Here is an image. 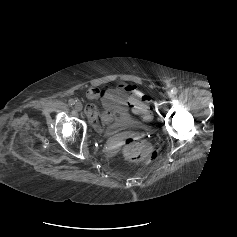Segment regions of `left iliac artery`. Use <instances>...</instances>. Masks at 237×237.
Here are the masks:
<instances>
[{
	"instance_id": "obj_1",
	"label": "left iliac artery",
	"mask_w": 237,
	"mask_h": 237,
	"mask_svg": "<svg viewBox=\"0 0 237 237\" xmlns=\"http://www.w3.org/2000/svg\"><path fill=\"white\" fill-rule=\"evenodd\" d=\"M177 92H178V89H177L176 87H173V88L171 89V93H172L173 95L177 94Z\"/></svg>"
}]
</instances>
